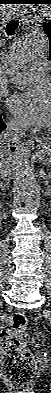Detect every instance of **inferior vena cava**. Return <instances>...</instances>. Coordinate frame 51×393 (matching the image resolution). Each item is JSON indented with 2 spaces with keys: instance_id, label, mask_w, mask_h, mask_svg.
Here are the masks:
<instances>
[{
  "instance_id": "1",
  "label": "inferior vena cava",
  "mask_w": 51,
  "mask_h": 393,
  "mask_svg": "<svg viewBox=\"0 0 51 393\" xmlns=\"http://www.w3.org/2000/svg\"><path fill=\"white\" fill-rule=\"evenodd\" d=\"M25 134V128L10 122L7 128L1 133L0 142V178L3 181L11 180V165L8 163L6 154L9 146L17 145Z\"/></svg>"
}]
</instances>
